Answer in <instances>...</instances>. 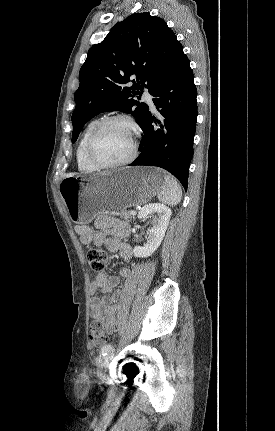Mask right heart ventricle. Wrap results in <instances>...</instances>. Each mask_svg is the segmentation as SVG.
<instances>
[{
	"label": "right heart ventricle",
	"instance_id": "right-heart-ventricle-1",
	"mask_svg": "<svg viewBox=\"0 0 275 431\" xmlns=\"http://www.w3.org/2000/svg\"><path fill=\"white\" fill-rule=\"evenodd\" d=\"M99 119H94L91 120L84 128V130L82 131V134L80 136L78 145H77V150H76V160H77V165H78V169L84 173H91L97 170V168H95L94 166H92L85 155V145H86V141L87 138L90 134V132L92 131V129L95 127V125L99 122Z\"/></svg>",
	"mask_w": 275,
	"mask_h": 431
}]
</instances>
